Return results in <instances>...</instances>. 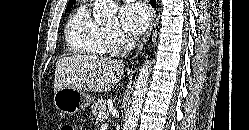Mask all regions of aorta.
Returning a JSON list of instances; mask_svg holds the SVG:
<instances>
[{"mask_svg":"<svg viewBox=\"0 0 249 130\" xmlns=\"http://www.w3.org/2000/svg\"><path fill=\"white\" fill-rule=\"evenodd\" d=\"M93 13L97 21L103 23H112L117 20V5L113 0H97L94 4ZM150 71L151 63L147 60L139 71L133 93V100L131 102L130 112L127 120L124 123L123 130H135L138 125L139 116L147 91Z\"/></svg>","mask_w":249,"mask_h":130,"instance_id":"obj_1","label":"aorta"}]
</instances>
